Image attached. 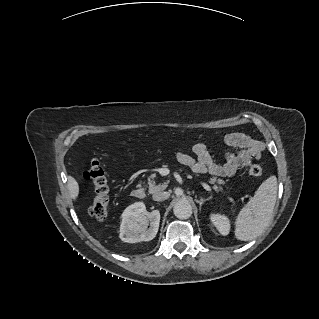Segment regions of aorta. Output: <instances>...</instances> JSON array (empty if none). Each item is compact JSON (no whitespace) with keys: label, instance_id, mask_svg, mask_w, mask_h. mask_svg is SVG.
<instances>
[{"label":"aorta","instance_id":"762f6f07","mask_svg":"<svg viewBox=\"0 0 319 319\" xmlns=\"http://www.w3.org/2000/svg\"><path fill=\"white\" fill-rule=\"evenodd\" d=\"M173 212L179 219H188L192 215V206L187 200H180L175 203Z\"/></svg>","mask_w":319,"mask_h":319}]
</instances>
